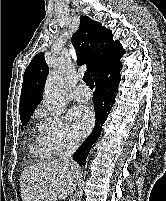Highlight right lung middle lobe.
Returning a JSON list of instances; mask_svg holds the SVG:
<instances>
[{
	"label": "right lung middle lobe",
	"instance_id": "dd1d6c3e",
	"mask_svg": "<svg viewBox=\"0 0 166 201\" xmlns=\"http://www.w3.org/2000/svg\"><path fill=\"white\" fill-rule=\"evenodd\" d=\"M29 118H30V115L21 118V122H22L23 126L26 125V123L28 122ZM21 130H23L22 126H21Z\"/></svg>",
	"mask_w": 166,
	"mask_h": 201
}]
</instances>
